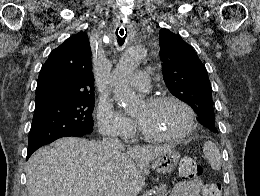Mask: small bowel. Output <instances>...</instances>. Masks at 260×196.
<instances>
[{"instance_id": "small-bowel-1", "label": "small bowel", "mask_w": 260, "mask_h": 196, "mask_svg": "<svg viewBox=\"0 0 260 196\" xmlns=\"http://www.w3.org/2000/svg\"><path fill=\"white\" fill-rule=\"evenodd\" d=\"M206 184L200 179L183 180L172 189L170 196H208Z\"/></svg>"}]
</instances>
